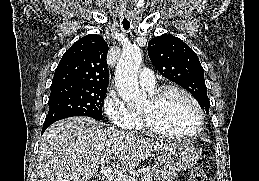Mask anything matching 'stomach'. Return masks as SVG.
Wrapping results in <instances>:
<instances>
[{
	"instance_id": "0dacf381",
	"label": "stomach",
	"mask_w": 259,
	"mask_h": 181,
	"mask_svg": "<svg viewBox=\"0 0 259 181\" xmlns=\"http://www.w3.org/2000/svg\"><path fill=\"white\" fill-rule=\"evenodd\" d=\"M199 153L197 149L183 142L169 144L160 150L157 160L164 169L172 171H185L190 169L198 161Z\"/></svg>"
}]
</instances>
